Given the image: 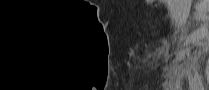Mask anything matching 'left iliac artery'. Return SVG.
<instances>
[{
  "label": "left iliac artery",
  "mask_w": 209,
  "mask_h": 90,
  "mask_svg": "<svg viewBox=\"0 0 209 90\" xmlns=\"http://www.w3.org/2000/svg\"><path fill=\"white\" fill-rule=\"evenodd\" d=\"M195 79H196V83H197V86H201V77L199 76L198 72L195 73Z\"/></svg>",
  "instance_id": "44dca946"
}]
</instances>
